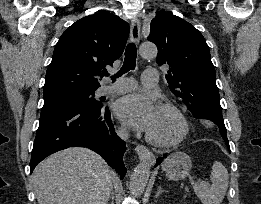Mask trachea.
Returning a JSON list of instances; mask_svg holds the SVG:
<instances>
[{
	"label": "trachea",
	"instance_id": "trachea-1",
	"mask_svg": "<svg viewBox=\"0 0 261 204\" xmlns=\"http://www.w3.org/2000/svg\"><path fill=\"white\" fill-rule=\"evenodd\" d=\"M136 57H137L136 46L134 43H129L125 50L124 64L121 70L115 76L119 77L130 70H134L136 66ZM104 75L108 76L109 74L108 72H105ZM115 76L112 78L113 81H115Z\"/></svg>",
	"mask_w": 261,
	"mask_h": 204
}]
</instances>
